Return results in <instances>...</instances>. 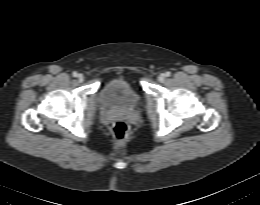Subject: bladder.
<instances>
[{
    "label": "bladder",
    "instance_id": "31cf9c89",
    "mask_svg": "<svg viewBox=\"0 0 260 205\" xmlns=\"http://www.w3.org/2000/svg\"><path fill=\"white\" fill-rule=\"evenodd\" d=\"M98 102L105 109H135L141 103V96L134 86L124 78H115L102 85Z\"/></svg>",
    "mask_w": 260,
    "mask_h": 205
}]
</instances>
